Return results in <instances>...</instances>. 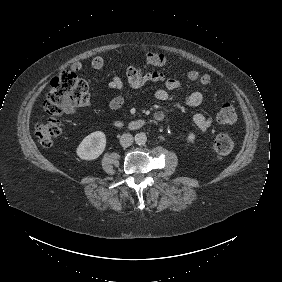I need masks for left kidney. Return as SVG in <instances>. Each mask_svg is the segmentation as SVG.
I'll use <instances>...</instances> for the list:
<instances>
[{
	"label": "left kidney",
	"mask_w": 282,
	"mask_h": 282,
	"mask_svg": "<svg viewBox=\"0 0 282 282\" xmlns=\"http://www.w3.org/2000/svg\"><path fill=\"white\" fill-rule=\"evenodd\" d=\"M195 140H196V135H195V133L190 132V133L187 134V136H186V141H187V142H189V143H194Z\"/></svg>",
	"instance_id": "obj_1"
}]
</instances>
